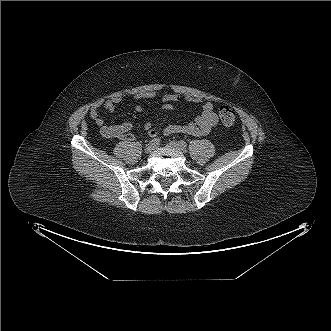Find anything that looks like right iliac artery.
Wrapping results in <instances>:
<instances>
[{
  "mask_svg": "<svg viewBox=\"0 0 331 331\" xmlns=\"http://www.w3.org/2000/svg\"><path fill=\"white\" fill-rule=\"evenodd\" d=\"M160 143V139L159 138H155V139H152L151 141L148 142L147 145H159Z\"/></svg>",
  "mask_w": 331,
  "mask_h": 331,
  "instance_id": "obj_1",
  "label": "right iliac artery"
}]
</instances>
